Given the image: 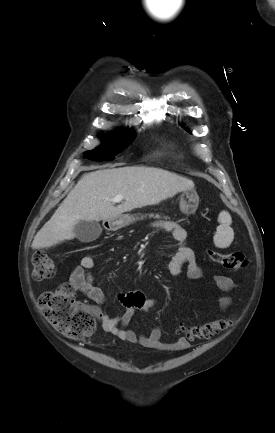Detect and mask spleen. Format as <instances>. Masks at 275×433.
<instances>
[{
	"label": "spleen",
	"mask_w": 275,
	"mask_h": 433,
	"mask_svg": "<svg viewBox=\"0 0 275 433\" xmlns=\"http://www.w3.org/2000/svg\"><path fill=\"white\" fill-rule=\"evenodd\" d=\"M218 222L220 225L217 227L213 237L214 244L218 248H227L234 239V232L230 227L232 218L227 211H222L218 216Z\"/></svg>",
	"instance_id": "1"
}]
</instances>
